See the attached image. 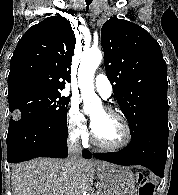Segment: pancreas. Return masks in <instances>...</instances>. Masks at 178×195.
<instances>
[{
    "instance_id": "obj_1",
    "label": "pancreas",
    "mask_w": 178,
    "mask_h": 195,
    "mask_svg": "<svg viewBox=\"0 0 178 195\" xmlns=\"http://www.w3.org/2000/svg\"><path fill=\"white\" fill-rule=\"evenodd\" d=\"M95 195H100L99 192H97Z\"/></svg>"
}]
</instances>
